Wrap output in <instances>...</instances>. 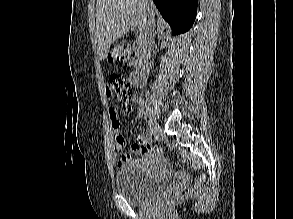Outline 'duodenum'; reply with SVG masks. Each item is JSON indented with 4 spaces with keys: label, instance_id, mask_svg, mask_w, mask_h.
<instances>
[{
    "label": "duodenum",
    "instance_id": "410a0bca",
    "mask_svg": "<svg viewBox=\"0 0 293 219\" xmlns=\"http://www.w3.org/2000/svg\"><path fill=\"white\" fill-rule=\"evenodd\" d=\"M131 49L136 56V69L130 76V82L134 87L142 88L146 84V68L149 57L143 43L139 40L132 43Z\"/></svg>",
    "mask_w": 293,
    "mask_h": 219
}]
</instances>
